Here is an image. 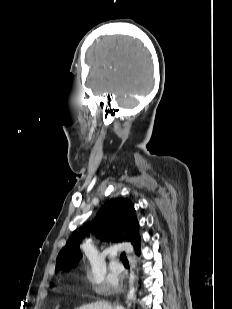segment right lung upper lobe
I'll return each instance as SVG.
<instances>
[{"label":"right lung upper lobe","instance_id":"right-lung-upper-lobe-1","mask_svg":"<svg viewBox=\"0 0 232 309\" xmlns=\"http://www.w3.org/2000/svg\"><path fill=\"white\" fill-rule=\"evenodd\" d=\"M91 231L103 241L130 242L136 255H140L139 223L130 199L118 198L107 202L92 222L75 230L57 257L56 272L69 270L82 257L79 245Z\"/></svg>","mask_w":232,"mask_h":309}]
</instances>
